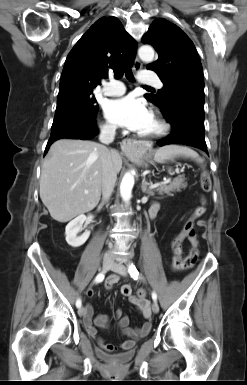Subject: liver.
<instances>
[{"label":"liver","instance_id":"1","mask_svg":"<svg viewBox=\"0 0 247 385\" xmlns=\"http://www.w3.org/2000/svg\"><path fill=\"white\" fill-rule=\"evenodd\" d=\"M108 151L119 173L122 158L118 151ZM104 153L102 145L88 140L60 139L51 145L41 171L40 198L54 220L68 222L98 205Z\"/></svg>","mask_w":247,"mask_h":385}]
</instances>
